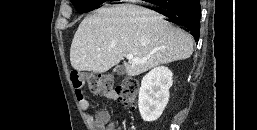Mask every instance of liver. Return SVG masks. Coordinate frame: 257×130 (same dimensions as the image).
Listing matches in <instances>:
<instances>
[{"instance_id": "6515ba94", "label": "liver", "mask_w": 257, "mask_h": 130, "mask_svg": "<svg viewBox=\"0 0 257 130\" xmlns=\"http://www.w3.org/2000/svg\"><path fill=\"white\" fill-rule=\"evenodd\" d=\"M163 18L131 4L97 9L82 20L74 35L72 67L103 73L132 54L142 62H124V67L128 76H137L158 65L189 58L193 38Z\"/></svg>"}]
</instances>
